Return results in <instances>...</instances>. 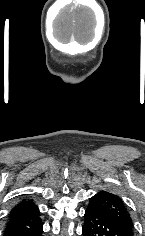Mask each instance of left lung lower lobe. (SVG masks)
Masks as SVG:
<instances>
[{
    "instance_id": "left-lung-lower-lobe-1",
    "label": "left lung lower lobe",
    "mask_w": 145,
    "mask_h": 236,
    "mask_svg": "<svg viewBox=\"0 0 145 236\" xmlns=\"http://www.w3.org/2000/svg\"><path fill=\"white\" fill-rule=\"evenodd\" d=\"M84 218L83 236H132L112 219L89 208L85 211Z\"/></svg>"
}]
</instances>
